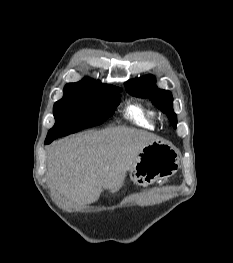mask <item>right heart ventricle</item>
Here are the masks:
<instances>
[{"label": "right heart ventricle", "instance_id": "1", "mask_svg": "<svg viewBox=\"0 0 233 263\" xmlns=\"http://www.w3.org/2000/svg\"><path fill=\"white\" fill-rule=\"evenodd\" d=\"M124 115L136 125L146 129H154L157 125L156 112L137 101L127 103L124 109Z\"/></svg>", "mask_w": 233, "mask_h": 263}]
</instances>
